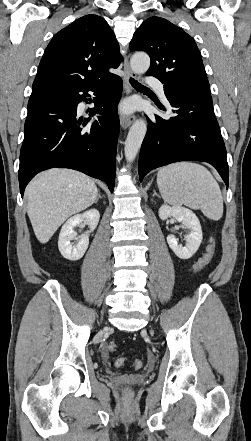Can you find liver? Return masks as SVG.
Listing matches in <instances>:
<instances>
[{
  "label": "liver",
  "mask_w": 251,
  "mask_h": 441,
  "mask_svg": "<svg viewBox=\"0 0 251 441\" xmlns=\"http://www.w3.org/2000/svg\"><path fill=\"white\" fill-rule=\"evenodd\" d=\"M27 214L36 238L47 243L64 221L90 207L98 196L93 180L78 171L50 169L27 186Z\"/></svg>",
  "instance_id": "liver-1"
}]
</instances>
